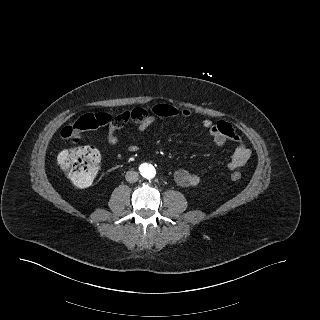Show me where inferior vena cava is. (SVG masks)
<instances>
[{"mask_svg": "<svg viewBox=\"0 0 320 320\" xmlns=\"http://www.w3.org/2000/svg\"><path fill=\"white\" fill-rule=\"evenodd\" d=\"M125 179L129 183H134L139 179L138 173L136 171H128L125 175Z\"/></svg>", "mask_w": 320, "mask_h": 320, "instance_id": "602c4592", "label": "inferior vena cava"}]
</instances>
